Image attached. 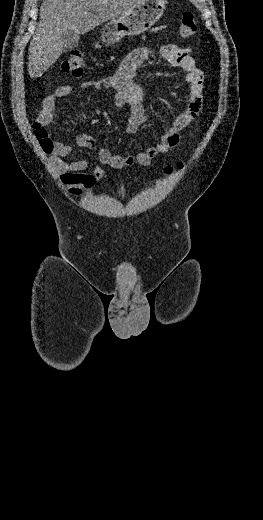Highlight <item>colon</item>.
I'll return each mask as SVG.
<instances>
[{
    "mask_svg": "<svg viewBox=\"0 0 263 520\" xmlns=\"http://www.w3.org/2000/svg\"><path fill=\"white\" fill-rule=\"evenodd\" d=\"M197 22L191 12H185L180 20L179 32L183 38L192 37L197 31ZM62 70L74 77H80L84 72V60L80 51H73L67 59L62 63ZM35 135L46 153H50L53 149V141L51 134L40 124H34ZM183 163L179 162L176 166H167L164 169L166 175H172L176 170L182 169Z\"/></svg>",
    "mask_w": 263,
    "mask_h": 520,
    "instance_id": "colon-1",
    "label": "colon"
}]
</instances>
